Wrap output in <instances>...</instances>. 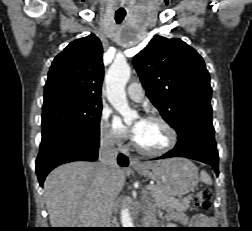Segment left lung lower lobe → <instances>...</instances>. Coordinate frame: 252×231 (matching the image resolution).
Here are the masks:
<instances>
[{"instance_id":"0a47b994","label":"left lung lower lobe","mask_w":252,"mask_h":231,"mask_svg":"<svg viewBox=\"0 0 252 231\" xmlns=\"http://www.w3.org/2000/svg\"><path fill=\"white\" fill-rule=\"evenodd\" d=\"M177 133L178 142L175 148L157 159L170 157L191 158L211 165L218 176V151L212 120L194 119L188 121Z\"/></svg>"}]
</instances>
